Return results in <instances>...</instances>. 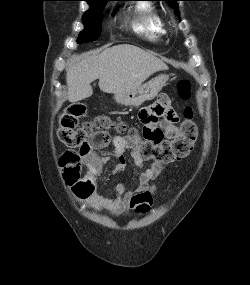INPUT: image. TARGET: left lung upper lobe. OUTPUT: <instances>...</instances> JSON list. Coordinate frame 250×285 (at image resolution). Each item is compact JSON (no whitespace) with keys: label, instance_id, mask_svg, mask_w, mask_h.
Returning a JSON list of instances; mask_svg holds the SVG:
<instances>
[{"label":"left lung upper lobe","instance_id":"left-lung-upper-lobe-1","mask_svg":"<svg viewBox=\"0 0 250 285\" xmlns=\"http://www.w3.org/2000/svg\"><path fill=\"white\" fill-rule=\"evenodd\" d=\"M162 1H166L171 8L175 9V14L177 16L179 15L178 4L176 2L180 0H162Z\"/></svg>","mask_w":250,"mask_h":285}]
</instances>
